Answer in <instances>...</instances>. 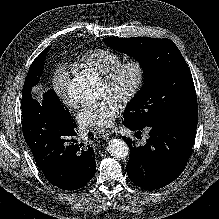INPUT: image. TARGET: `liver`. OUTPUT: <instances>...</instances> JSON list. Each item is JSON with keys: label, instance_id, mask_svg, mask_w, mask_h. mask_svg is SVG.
Here are the masks:
<instances>
[{"label": "liver", "instance_id": "obj_1", "mask_svg": "<svg viewBox=\"0 0 219 219\" xmlns=\"http://www.w3.org/2000/svg\"><path fill=\"white\" fill-rule=\"evenodd\" d=\"M39 90H40V87H37V88H36V91L38 92ZM38 100L41 101V94H40V93H39Z\"/></svg>", "mask_w": 219, "mask_h": 219}]
</instances>
